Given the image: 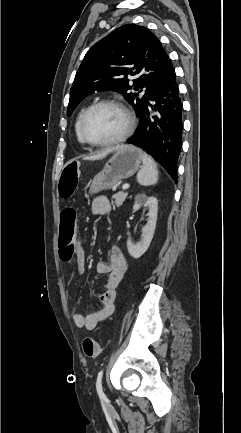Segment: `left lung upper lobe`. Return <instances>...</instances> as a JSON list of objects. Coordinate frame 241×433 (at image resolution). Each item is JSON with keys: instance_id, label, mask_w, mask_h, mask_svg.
Masks as SVG:
<instances>
[{"instance_id": "1", "label": "left lung upper lobe", "mask_w": 241, "mask_h": 433, "mask_svg": "<svg viewBox=\"0 0 241 433\" xmlns=\"http://www.w3.org/2000/svg\"><path fill=\"white\" fill-rule=\"evenodd\" d=\"M170 65L168 54L153 33L142 26L123 25L86 53L70 90L67 114L93 92L113 90L123 94L139 117ZM128 75L137 76L133 84ZM144 87L141 97L139 92L130 91Z\"/></svg>"}]
</instances>
